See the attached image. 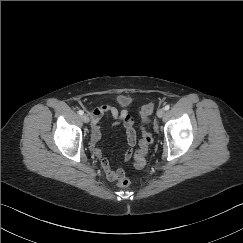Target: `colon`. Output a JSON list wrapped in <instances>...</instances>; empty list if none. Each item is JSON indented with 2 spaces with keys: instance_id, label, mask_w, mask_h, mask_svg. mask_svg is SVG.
Wrapping results in <instances>:
<instances>
[{
  "instance_id": "colon-1",
  "label": "colon",
  "mask_w": 243,
  "mask_h": 243,
  "mask_svg": "<svg viewBox=\"0 0 243 243\" xmlns=\"http://www.w3.org/2000/svg\"><path fill=\"white\" fill-rule=\"evenodd\" d=\"M153 109H154L153 103H148L141 108L140 115L142 120V126H141L142 135L139 140V148L135 153V160H134V166L138 169L143 168L145 166L146 155L148 153L150 145L153 142L152 135L146 128V124L149 121V116L152 113ZM130 184L131 181L128 177L123 176L118 180V185L121 188H128Z\"/></svg>"
}]
</instances>
